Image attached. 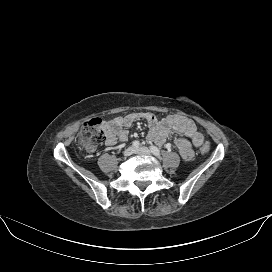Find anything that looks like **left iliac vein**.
<instances>
[{
  "label": "left iliac vein",
  "instance_id": "left-iliac-vein-1",
  "mask_svg": "<svg viewBox=\"0 0 272 272\" xmlns=\"http://www.w3.org/2000/svg\"><path fill=\"white\" fill-rule=\"evenodd\" d=\"M135 153L139 155H150L151 151L146 147H140L135 149Z\"/></svg>",
  "mask_w": 272,
  "mask_h": 272
}]
</instances>
